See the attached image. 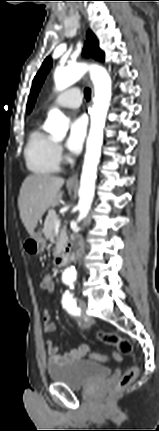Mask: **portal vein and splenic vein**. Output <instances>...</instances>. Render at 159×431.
Returning a JSON list of instances; mask_svg holds the SVG:
<instances>
[{"label":"portal vein and splenic vein","mask_w":159,"mask_h":431,"mask_svg":"<svg viewBox=\"0 0 159 431\" xmlns=\"http://www.w3.org/2000/svg\"><path fill=\"white\" fill-rule=\"evenodd\" d=\"M54 225L56 228H59L60 227V220L59 219L55 220Z\"/></svg>","instance_id":"1"}]
</instances>
